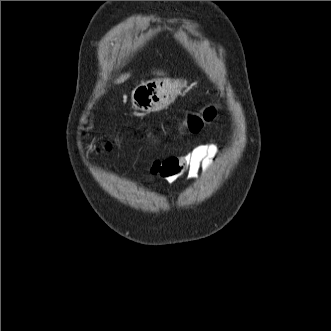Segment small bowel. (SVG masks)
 <instances>
[{
    "label": "small bowel",
    "instance_id": "1",
    "mask_svg": "<svg viewBox=\"0 0 331 331\" xmlns=\"http://www.w3.org/2000/svg\"><path fill=\"white\" fill-rule=\"evenodd\" d=\"M224 152V147L214 143L199 145L183 155L152 162L149 178L172 183L185 173L187 179L193 180L200 174H206Z\"/></svg>",
    "mask_w": 331,
    "mask_h": 331
}]
</instances>
